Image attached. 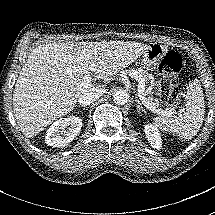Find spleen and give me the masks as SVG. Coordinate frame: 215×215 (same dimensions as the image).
<instances>
[{
	"label": "spleen",
	"mask_w": 215,
	"mask_h": 215,
	"mask_svg": "<svg viewBox=\"0 0 215 215\" xmlns=\"http://www.w3.org/2000/svg\"><path fill=\"white\" fill-rule=\"evenodd\" d=\"M186 110L178 115H161L152 119V124L163 133H171L182 140L192 139L204 119L205 103L200 85L191 82L185 100Z\"/></svg>",
	"instance_id": "3e777b00"
}]
</instances>
